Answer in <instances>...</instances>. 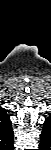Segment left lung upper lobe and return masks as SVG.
Masks as SVG:
<instances>
[{"label":"left lung upper lobe","mask_w":51,"mask_h":150,"mask_svg":"<svg viewBox=\"0 0 51 150\" xmlns=\"http://www.w3.org/2000/svg\"><path fill=\"white\" fill-rule=\"evenodd\" d=\"M43 132L46 133V135L51 133V119H50V117H48V119H46L44 122Z\"/></svg>","instance_id":"1"}]
</instances>
